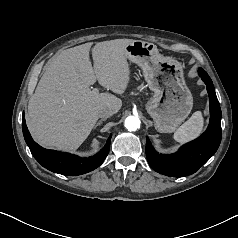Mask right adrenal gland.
<instances>
[{"mask_svg":"<svg viewBox=\"0 0 238 238\" xmlns=\"http://www.w3.org/2000/svg\"><path fill=\"white\" fill-rule=\"evenodd\" d=\"M106 119H101L99 120L96 125L94 126V129H96L99 125H101L103 123V121H105Z\"/></svg>","mask_w":238,"mask_h":238,"instance_id":"right-adrenal-gland-1","label":"right adrenal gland"}]
</instances>
